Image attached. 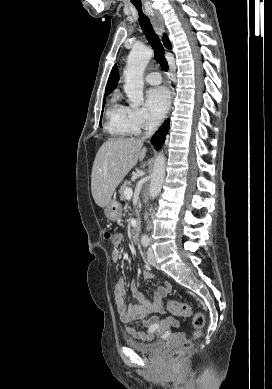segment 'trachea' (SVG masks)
Listing matches in <instances>:
<instances>
[{
	"instance_id": "1",
	"label": "trachea",
	"mask_w": 272,
	"mask_h": 389,
	"mask_svg": "<svg viewBox=\"0 0 272 389\" xmlns=\"http://www.w3.org/2000/svg\"><path fill=\"white\" fill-rule=\"evenodd\" d=\"M136 7L138 13H139V24L141 26V29L143 30L144 34L146 35V38L148 42L151 44V46L154 48V56L155 60L160 64L162 70L168 71V62L165 58L164 48L156 35L155 31L153 30V27L150 23L149 18L142 12V6L141 4H134Z\"/></svg>"
}]
</instances>
